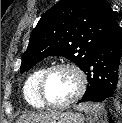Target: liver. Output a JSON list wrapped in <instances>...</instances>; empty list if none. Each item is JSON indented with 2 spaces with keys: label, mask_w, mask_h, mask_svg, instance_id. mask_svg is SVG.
<instances>
[{
  "label": "liver",
  "mask_w": 122,
  "mask_h": 123,
  "mask_svg": "<svg viewBox=\"0 0 122 123\" xmlns=\"http://www.w3.org/2000/svg\"><path fill=\"white\" fill-rule=\"evenodd\" d=\"M50 116L51 113L49 112L24 114L17 120V123H45Z\"/></svg>",
  "instance_id": "obj_1"
}]
</instances>
